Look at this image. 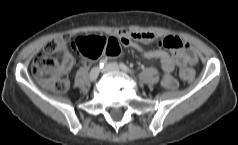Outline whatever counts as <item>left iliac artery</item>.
I'll list each match as a JSON object with an SVG mask.
<instances>
[{
    "instance_id": "1",
    "label": "left iliac artery",
    "mask_w": 238,
    "mask_h": 145,
    "mask_svg": "<svg viewBox=\"0 0 238 145\" xmlns=\"http://www.w3.org/2000/svg\"><path fill=\"white\" fill-rule=\"evenodd\" d=\"M120 67L122 70H124L125 72H129V73H132V74H135L136 71L129 68L127 65H125L124 63H120Z\"/></svg>"
}]
</instances>
